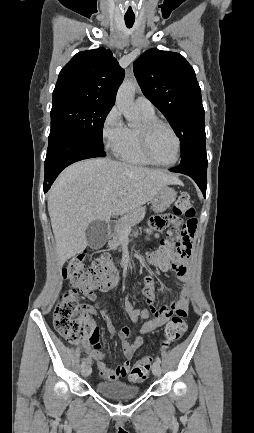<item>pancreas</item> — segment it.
<instances>
[{"instance_id": "pancreas-1", "label": "pancreas", "mask_w": 254, "mask_h": 433, "mask_svg": "<svg viewBox=\"0 0 254 433\" xmlns=\"http://www.w3.org/2000/svg\"><path fill=\"white\" fill-rule=\"evenodd\" d=\"M145 214V207H139L124 214L115 225V233L112 240L109 241V246H117L120 243L123 232L127 228H130L131 226L138 224L140 221H142Z\"/></svg>"}]
</instances>
